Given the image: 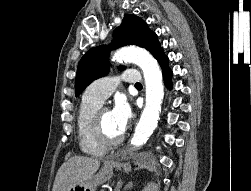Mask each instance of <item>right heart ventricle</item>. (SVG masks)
<instances>
[{
  "label": "right heart ventricle",
  "instance_id": "1",
  "mask_svg": "<svg viewBox=\"0 0 251 191\" xmlns=\"http://www.w3.org/2000/svg\"><path fill=\"white\" fill-rule=\"evenodd\" d=\"M102 102L83 96L75 116V134L79 151L89 157L100 158L107 152L96 138L93 127V116Z\"/></svg>",
  "mask_w": 251,
  "mask_h": 191
}]
</instances>
